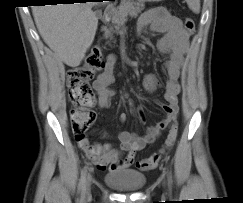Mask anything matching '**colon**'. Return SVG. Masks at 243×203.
<instances>
[{
	"label": "colon",
	"mask_w": 243,
	"mask_h": 203,
	"mask_svg": "<svg viewBox=\"0 0 243 203\" xmlns=\"http://www.w3.org/2000/svg\"><path fill=\"white\" fill-rule=\"evenodd\" d=\"M184 26L188 35L194 33L195 23L193 19L185 18ZM102 51L101 46H95L88 54L84 65L71 68L67 73L69 99L72 104L70 111L71 129L78 142L86 139V134L96 119V114L91 109L95 99L91 81L95 73L105 65ZM177 135V125H173L163 147L150 157L139 160L136 163L137 168L150 170L157 167L162 157L173 148Z\"/></svg>",
	"instance_id": "5ec220e1"
}]
</instances>
